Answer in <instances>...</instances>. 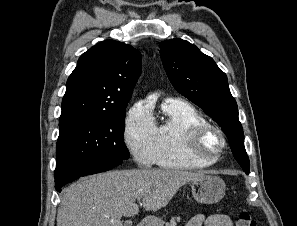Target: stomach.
Returning a JSON list of instances; mask_svg holds the SVG:
<instances>
[{
    "mask_svg": "<svg viewBox=\"0 0 297 226\" xmlns=\"http://www.w3.org/2000/svg\"><path fill=\"white\" fill-rule=\"evenodd\" d=\"M192 195L198 203L213 204L219 202L225 195L226 185L224 181L213 175H205L199 180L191 182ZM164 221L152 217L147 226H163Z\"/></svg>",
    "mask_w": 297,
    "mask_h": 226,
    "instance_id": "0dacf381",
    "label": "stomach"
}]
</instances>
